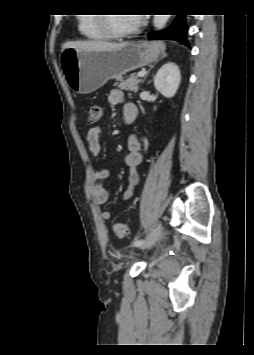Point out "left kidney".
<instances>
[{"label":"left kidney","mask_w":254,"mask_h":355,"mask_svg":"<svg viewBox=\"0 0 254 355\" xmlns=\"http://www.w3.org/2000/svg\"><path fill=\"white\" fill-rule=\"evenodd\" d=\"M180 82L179 67L172 62L162 65L154 77L155 88L167 98H172L176 94Z\"/></svg>","instance_id":"1"}]
</instances>
